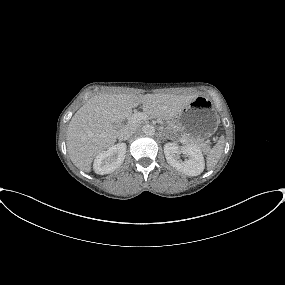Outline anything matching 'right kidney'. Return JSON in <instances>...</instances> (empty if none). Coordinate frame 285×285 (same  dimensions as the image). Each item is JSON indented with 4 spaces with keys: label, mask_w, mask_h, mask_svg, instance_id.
Returning <instances> with one entry per match:
<instances>
[{
    "label": "right kidney",
    "mask_w": 285,
    "mask_h": 285,
    "mask_svg": "<svg viewBox=\"0 0 285 285\" xmlns=\"http://www.w3.org/2000/svg\"><path fill=\"white\" fill-rule=\"evenodd\" d=\"M126 144L119 143L109 147L95 157L93 169L99 175L109 174L119 168L126 156Z\"/></svg>",
    "instance_id": "obj_1"
}]
</instances>
